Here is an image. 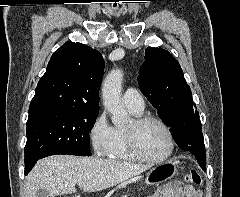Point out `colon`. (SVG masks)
<instances>
[{"label":"colon","mask_w":240,"mask_h":197,"mask_svg":"<svg viewBox=\"0 0 240 197\" xmlns=\"http://www.w3.org/2000/svg\"><path fill=\"white\" fill-rule=\"evenodd\" d=\"M185 179L187 182L193 184V185H201L202 183V176L201 174L196 170H190L186 173ZM166 190L161 189L158 192V197H166ZM71 197H77V196H71Z\"/></svg>","instance_id":"1"}]
</instances>
